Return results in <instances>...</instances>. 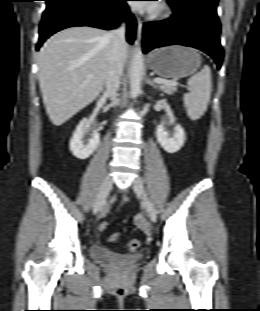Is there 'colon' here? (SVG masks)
I'll return each mask as SVG.
<instances>
[{
	"label": "colon",
	"instance_id": "1",
	"mask_svg": "<svg viewBox=\"0 0 260 311\" xmlns=\"http://www.w3.org/2000/svg\"><path fill=\"white\" fill-rule=\"evenodd\" d=\"M108 228V223L107 222H102L100 224V230L101 231H105ZM119 234L118 233H114L112 235L109 236V241L110 242H116L119 239ZM140 246V242L137 239H131L128 241L127 243V247L130 251H136Z\"/></svg>",
	"mask_w": 260,
	"mask_h": 311
}]
</instances>
